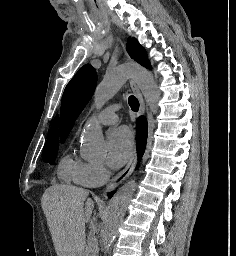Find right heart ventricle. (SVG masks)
Here are the masks:
<instances>
[{
    "label": "right heart ventricle",
    "instance_id": "obj_1",
    "mask_svg": "<svg viewBox=\"0 0 236 256\" xmlns=\"http://www.w3.org/2000/svg\"><path fill=\"white\" fill-rule=\"evenodd\" d=\"M77 162H72L69 157H64L58 166V176L65 182H71L74 179V173Z\"/></svg>",
    "mask_w": 236,
    "mask_h": 256
}]
</instances>
